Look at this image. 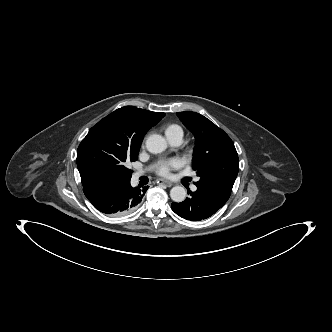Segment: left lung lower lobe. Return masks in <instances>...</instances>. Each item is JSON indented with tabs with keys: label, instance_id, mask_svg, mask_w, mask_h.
I'll return each mask as SVG.
<instances>
[{
	"label": "left lung lower lobe",
	"instance_id": "0a47b994",
	"mask_svg": "<svg viewBox=\"0 0 332 332\" xmlns=\"http://www.w3.org/2000/svg\"><path fill=\"white\" fill-rule=\"evenodd\" d=\"M189 193V198L183 202L171 204L172 210L186 220L201 221L207 219L225 204L199 188L195 192L190 191Z\"/></svg>",
	"mask_w": 332,
	"mask_h": 332
}]
</instances>
